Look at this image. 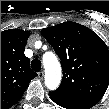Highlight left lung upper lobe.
I'll return each instance as SVG.
<instances>
[{"instance_id":"1","label":"left lung upper lobe","mask_w":109,"mask_h":109,"mask_svg":"<svg viewBox=\"0 0 109 109\" xmlns=\"http://www.w3.org/2000/svg\"><path fill=\"white\" fill-rule=\"evenodd\" d=\"M42 35L60 57L63 80L56 90L92 106L109 86V50L89 28L64 22L42 30Z\"/></svg>"}]
</instances>
